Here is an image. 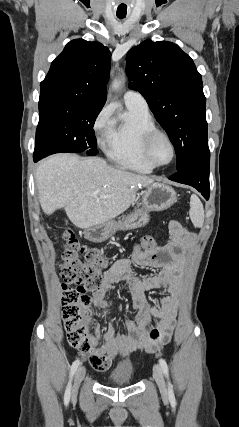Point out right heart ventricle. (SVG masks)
I'll use <instances>...</instances> for the list:
<instances>
[{
    "mask_svg": "<svg viewBox=\"0 0 239 427\" xmlns=\"http://www.w3.org/2000/svg\"><path fill=\"white\" fill-rule=\"evenodd\" d=\"M156 129L149 110L126 105V110L113 119L112 128L105 141L107 157L130 171L149 173L154 168L142 154L144 136Z\"/></svg>",
    "mask_w": 239,
    "mask_h": 427,
    "instance_id": "1",
    "label": "right heart ventricle"
}]
</instances>
